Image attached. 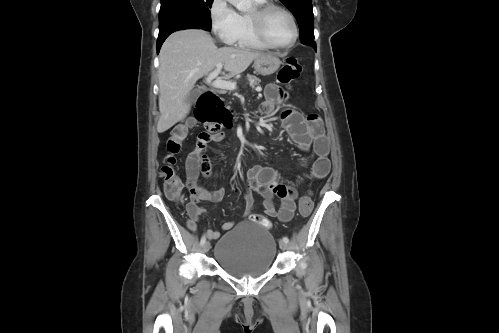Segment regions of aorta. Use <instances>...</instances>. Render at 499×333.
I'll return each mask as SVG.
<instances>
[{"instance_id":"762f6f07","label":"aorta","mask_w":499,"mask_h":333,"mask_svg":"<svg viewBox=\"0 0 499 333\" xmlns=\"http://www.w3.org/2000/svg\"><path fill=\"white\" fill-rule=\"evenodd\" d=\"M230 4L235 6L239 11H248L251 8L252 0H227Z\"/></svg>"}]
</instances>
